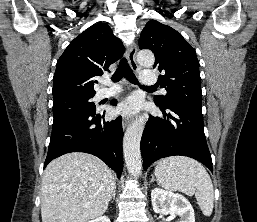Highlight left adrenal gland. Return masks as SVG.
<instances>
[{
    "mask_svg": "<svg viewBox=\"0 0 257 222\" xmlns=\"http://www.w3.org/2000/svg\"><path fill=\"white\" fill-rule=\"evenodd\" d=\"M153 181H155V177H154V175H152V179H151V181H150V182H153Z\"/></svg>",
    "mask_w": 257,
    "mask_h": 222,
    "instance_id": "left-adrenal-gland-1",
    "label": "left adrenal gland"
}]
</instances>
